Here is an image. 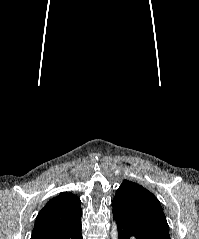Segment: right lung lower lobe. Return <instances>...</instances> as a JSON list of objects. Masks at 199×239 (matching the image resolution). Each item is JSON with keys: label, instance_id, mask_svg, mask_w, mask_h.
<instances>
[{"label": "right lung lower lobe", "instance_id": "98d812e1", "mask_svg": "<svg viewBox=\"0 0 199 239\" xmlns=\"http://www.w3.org/2000/svg\"><path fill=\"white\" fill-rule=\"evenodd\" d=\"M81 229L79 219L57 229L33 232L31 239H83Z\"/></svg>", "mask_w": 199, "mask_h": 239}]
</instances>
